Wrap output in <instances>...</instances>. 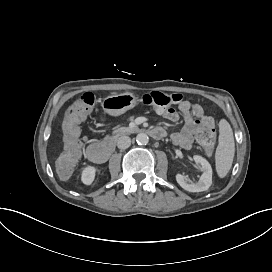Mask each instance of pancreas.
<instances>
[{
    "label": "pancreas",
    "mask_w": 272,
    "mask_h": 272,
    "mask_svg": "<svg viewBox=\"0 0 272 272\" xmlns=\"http://www.w3.org/2000/svg\"><path fill=\"white\" fill-rule=\"evenodd\" d=\"M134 129L129 128V127H120L118 129H114L112 134H113V138L115 140H117L121 135H125V134H130L133 133Z\"/></svg>",
    "instance_id": "cf45deb5"
}]
</instances>
